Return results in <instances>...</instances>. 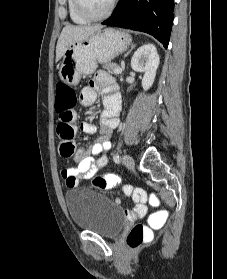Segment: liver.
Instances as JSON below:
<instances>
[{
  "mask_svg": "<svg viewBox=\"0 0 227 279\" xmlns=\"http://www.w3.org/2000/svg\"><path fill=\"white\" fill-rule=\"evenodd\" d=\"M103 28L101 25L93 26H74L66 25L59 36L56 46V62H58L64 55V52L70 44L83 41L100 31Z\"/></svg>",
  "mask_w": 227,
  "mask_h": 279,
  "instance_id": "liver-1",
  "label": "liver"
}]
</instances>
